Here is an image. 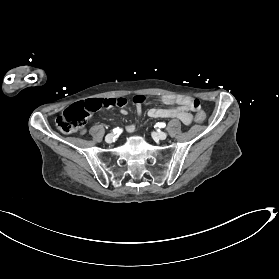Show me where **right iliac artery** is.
Wrapping results in <instances>:
<instances>
[{
  "label": "right iliac artery",
  "instance_id": "obj_1",
  "mask_svg": "<svg viewBox=\"0 0 279 279\" xmlns=\"http://www.w3.org/2000/svg\"><path fill=\"white\" fill-rule=\"evenodd\" d=\"M122 132V130L120 129V128H115L114 130H113V133L114 134H120Z\"/></svg>",
  "mask_w": 279,
  "mask_h": 279
}]
</instances>
